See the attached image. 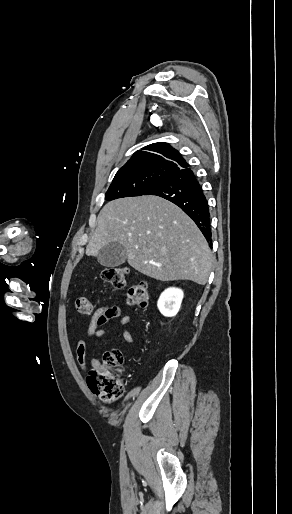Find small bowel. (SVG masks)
<instances>
[{"label": "small bowel", "instance_id": "c3829d8e", "mask_svg": "<svg viewBox=\"0 0 292 514\" xmlns=\"http://www.w3.org/2000/svg\"><path fill=\"white\" fill-rule=\"evenodd\" d=\"M111 322H114L116 325L126 326L131 322V317L123 315L121 307L116 304L99 306L91 317L87 336L90 339L97 340ZM120 335L128 344H134L136 341L135 336L127 329H122ZM76 357L79 367L85 372L87 370V346L84 340L80 339L76 343ZM91 365L96 367L97 370L101 369V362L99 360H93Z\"/></svg>", "mask_w": 292, "mask_h": 514}]
</instances>
